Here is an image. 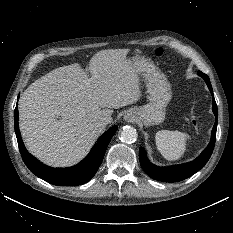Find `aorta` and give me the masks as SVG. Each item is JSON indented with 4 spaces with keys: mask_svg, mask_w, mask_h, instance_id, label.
I'll return each instance as SVG.
<instances>
[{
    "mask_svg": "<svg viewBox=\"0 0 233 233\" xmlns=\"http://www.w3.org/2000/svg\"><path fill=\"white\" fill-rule=\"evenodd\" d=\"M138 134L135 128L124 126L120 131V139L124 143H134L137 140Z\"/></svg>",
    "mask_w": 233,
    "mask_h": 233,
    "instance_id": "762f6f07",
    "label": "aorta"
}]
</instances>
